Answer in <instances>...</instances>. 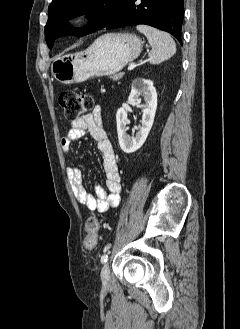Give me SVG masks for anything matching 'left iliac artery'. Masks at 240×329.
<instances>
[{
  "label": "left iliac artery",
  "instance_id": "left-iliac-artery-1",
  "mask_svg": "<svg viewBox=\"0 0 240 329\" xmlns=\"http://www.w3.org/2000/svg\"><path fill=\"white\" fill-rule=\"evenodd\" d=\"M107 259H108V254H104V255H102V257H101V263L103 264V263H106L107 262Z\"/></svg>",
  "mask_w": 240,
  "mask_h": 329
}]
</instances>
